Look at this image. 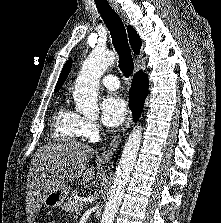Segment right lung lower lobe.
Masks as SVG:
<instances>
[{
	"mask_svg": "<svg viewBox=\"0 0 221 223\" xmlns=\"http://www.w3.org/2000/svg\"><path fill=\"white\" fill-rule=\"evenodd\" d=\"M148 86L149 82L145 73L139 71L134 75L129 92V106L133 112L134 120L140 117L148 93Z\"/></svg>",
	"mask_w": 221,
	"mask_h": 223,
	"instance_id": "right-lung-lower-lobe-1",
	"label": "right lung lower lobe"
}]
</instances>
